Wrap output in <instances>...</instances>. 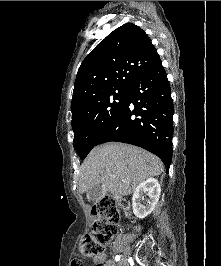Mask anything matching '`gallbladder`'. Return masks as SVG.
<instances>
[{
	"mask_svg": "<svg viewBox=\"0 0 221 266\" xmlns=\"http://www.w3.org/2000/svg\"><path fill=\"white\" fill-rule=\"evenodd\" d=\"M106 194V191L103 190L102 185L98 184L87 191V199L92 202H97Z\"/></svg>",
	"mask_w": 221,
	"mask_h": 266,
	"instance_id": "gallbladder-1",
	"label": "gallbladder"
}]
</instances>
